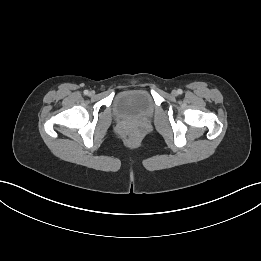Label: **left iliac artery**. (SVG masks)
Instances as JSON below:
<instances>
[{"mask_svg":"<svg viewBox=\"0 0 261 261\" xmlns=\"http://www.w3.org/2000/svg\"><path fill=\"white\" fill-rule=\"evenodd\" d=\"M177 92H178V94H182V90L181 89H179Z\"/></svg>","mask_w":261,"mask_h":261,"instance_id":"44dca946","label":"left iliac artery"}]
</instances>
